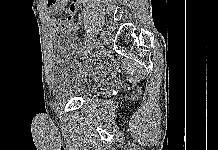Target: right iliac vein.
<instances>
[{
  "instance_id": "1",
  "label": "right iliac vein",
  "mask_w": 218,
  "mask_h": 150,
  "mask_svg": "<svg viewBox=\"0 0 218 150\" xmlns=\"http://www.w3.org/2000/svg\"><path fill=\"white\" fill-rule=\"evenodd\" d=\"M111 39V35L109 33L108 30L106 29H102L101 30V37L98 38V40H96L95 42H93V44L90 46V48L88 49L90 52L93 50L94 47H98V45H102L103 43H108ZM103 41V43H102Z\"/></svg>"
}]
</instances>
